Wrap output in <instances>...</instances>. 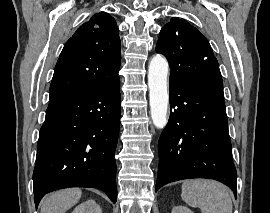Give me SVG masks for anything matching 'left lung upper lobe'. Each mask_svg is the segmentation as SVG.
Returning <instances> with one entry per match:
<instances>
[{
	"label": "left lung upper lobe",
	"mask_w": 270,
	"mask_h": 213,
	"mask_svg": "<svg viewBox=\"0 0 270 213\" xmlns=\"http://www.w3.org/2000/svg\"><path fill=\"white\" fill-rule=\"evenodd\" d=\"M156 51L170 65V83L195 85L224 96L217 59L207 39L184 19L172 18L160 31Z\"/></svg>",
	"instance_id": "5c2ea615"
}]
</instances>
